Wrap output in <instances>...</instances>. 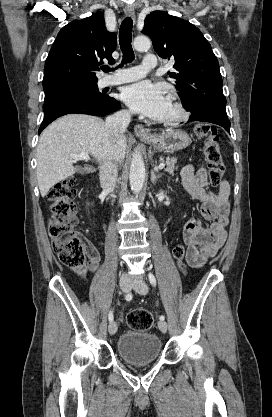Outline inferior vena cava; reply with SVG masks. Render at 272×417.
<instances>
[{"mask_svg":"<svg viewBox=\"0 0 272 417\" xmlns=\"http://www.w3.org/2000/svg\"><path fill=\"white\" fill-rule=\"evenodd\" d=\"M132 113L128 110L117 111L106 118L105 126L114 137H118L126 130ZM100 184L104 191L112 192L116 186L118 169L112 160L108 159L100 167Z\"/></svg>","mask_w":272,"mask_h":417,"instance_id":"1","label":"inferior vena cava"}]
</instances>
